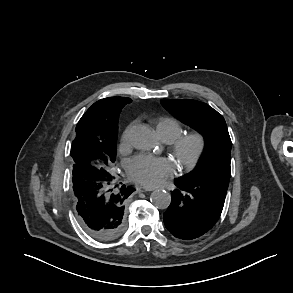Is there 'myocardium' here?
Segmentation results:
<instances>
[{"label":"myocardium","mask_w":293,"mask_h":293,"mask_svg":"<svg viewBox=\"0 0 293 293\" xmlns=\"http://www.w3.org/2000/svg\"><path fill=\"white\" fill-rule=\"evenodd\" d=\"M206 147L204 134L198 131L185 133L170 143V151L181 171L193 169L201 159Z\"/></svg>","instance_id":"1"}]
</instances>
